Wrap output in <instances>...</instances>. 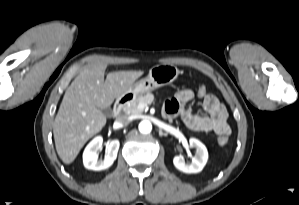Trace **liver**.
I'll return each instance as SVG.
<instances>
[{
    "label": "liver",
    "mask_w": 299,
    "mask_h": 205,
    "mask_svg": "<svg viewBox=\"0 0 299 205\" xmlns=\"http://www.w3.org/2000/svg\"><path fill=\"white\" fill-rule=\"evenodd\" d=\"M106 64L84 69L67 88L54 120L56 151L65 164L72 163L84 144L106 124L101 109L120 98L143 71L110 72Z\"/></svg>",
    "instance_id": "obj_1"
}]
</instances>
